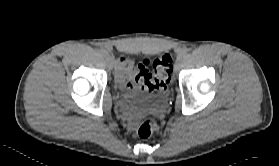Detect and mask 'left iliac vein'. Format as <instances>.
<instances>
[{
	"instance_id": "4c4485c4",
	"label": "left iliac vein",
	"mask_w": 279,
	"mask_h": 166,
	"mask_svg": "<svg viewBox=\"0 0 279 166\" xmlns=\"http://www.w3.org/2000/svg\"><path fill=\"white\" fill-rule=\"evenodd\" d=\"M180 59H177L176 62H175V66H174V71L175 72H178L180 70Z\"/></svg>"
}]
</instances>
